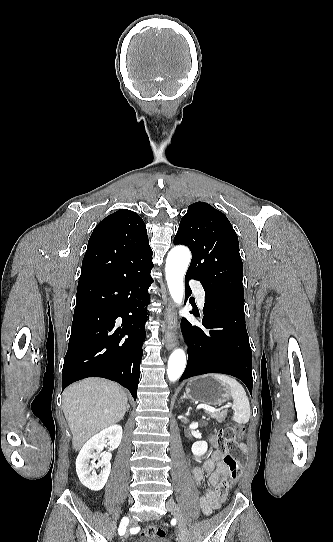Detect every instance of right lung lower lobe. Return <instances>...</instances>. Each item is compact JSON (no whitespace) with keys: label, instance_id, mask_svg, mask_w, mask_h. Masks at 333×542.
<instances>
[{"label":"right lung lower lobe","instance_id":"right-lung-lower-lobe-1","mask_svg":"<svg viewBox=\"0 0 333 542\" xmlns=\"http://www.w3.org/2000/svg\"><path fill=\"white\" fill-rule=\"evenodd\" d=\"M152 254L151 248L135 247L86 251L82 270L102 275L79 279L62 390L83 378L103 377L136 400Z\"/></svg>","mask_w":333,"mask_h":542}]
</instances>
